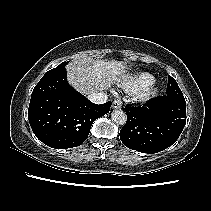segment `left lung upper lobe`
<instances>
[{
    "label": "left lung upper lobe",
    "mask_w": 211,
    "mask_h": 211,
    "mask_svg": "<svg viewBox=\"0 0 211 211\" xmlns=\"http://www.w3.org/2000/svg\"><path fill=\"white\" fill-rule=\"evenodd\" d=\"M166 93L168 95L182 94L177 82L171 76H168V85Z\"/></svg>",
    "instance_id": "obj_1"
}]
</instances>
